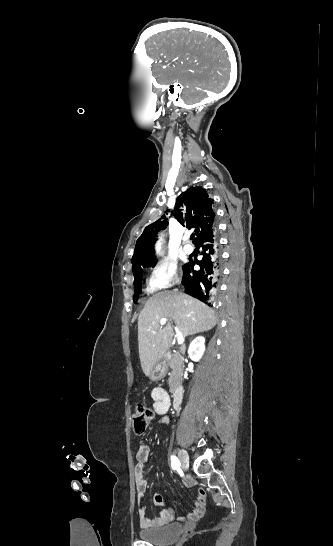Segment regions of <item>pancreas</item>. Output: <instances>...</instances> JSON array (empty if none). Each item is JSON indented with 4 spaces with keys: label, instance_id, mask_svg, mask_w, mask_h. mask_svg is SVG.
I'll return each mask as SVG.
<instances>
[{
    "label": "pancreas",
    "instance_id": "pancreas-1",
    "mask_svg": "<svg viewBox=\"0 0 333 546\" xmlns=\"http://www.w3.org/2000/svg\"><path fill=\"white\" fill-rule=\"evenodd\" d=\"M168 366L171 369L169 374L170 391L174 392L182 382L183 357L177 352L173 353L171 358L168 360Z\"/></svg>",
    "mask_w": 333,
    "mask_h": 546
}]
</instances>
